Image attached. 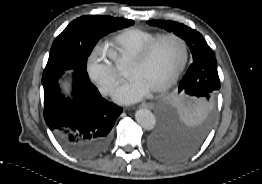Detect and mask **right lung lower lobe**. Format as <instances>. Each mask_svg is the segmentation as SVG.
I'll use <instances>...</instances> for the list:
<instances>
[{"instance_id": "obj_1", "label": "right lung lower lobe", "mask_w": 262, "mask_h": 184, "mask_svg": "<svg viewBox=\"0 0 262 184\" xmlns=\"http://www.w3.org/2000/svg\"><path fill=\"white\" fill-rule=\"evenodd\" d=\"M63 74L42 77L44 119L68 152L94 158L108 147L122 108L102 98L87 73L81 71L74 72L72 97H65L58 83Z\"/></svg>"}]
</instances>
